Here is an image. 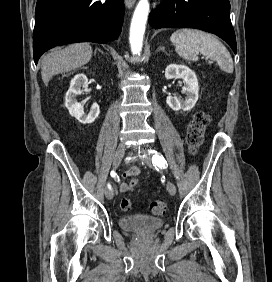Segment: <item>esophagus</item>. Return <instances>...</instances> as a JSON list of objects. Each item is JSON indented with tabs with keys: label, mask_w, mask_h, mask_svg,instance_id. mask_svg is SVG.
<instances>
[{
	"label": "esophagus",
	"mask_w": 272,
	"mask_h": 282,
	"mask_svg": "<svg viewBox=\"0 0 272 282\" xmlns=\"http://www.w3.org/2000/svg\"><path fill=\"white\" fill-rule=\"evenodd\" d=\"M124 2H125L126 7L129 9L132 8L135 4V0H124Z\"/></svg>",
	"instance_id": "obj_1"
}]
</instances>
